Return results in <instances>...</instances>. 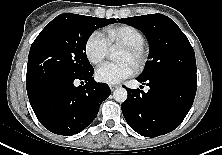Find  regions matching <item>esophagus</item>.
I'll return each instance as SVG.
<instances>
[{
  "mask_svg": "<svg viewBox=\"0 0 222 155\" xmlns=\"http://www.w3.org/2000/svg\"><path fill=\"white\" fill-rule=\"evenodd\" d=\"M109 87L111 91H114L118 87V85L111 84L109 85Z\"/></svg>",
  "mask_w": 222,
  "mask_h": 155,
  "instance_id": "obj_1",
  "label": "esophagus"
}]
</instances>
